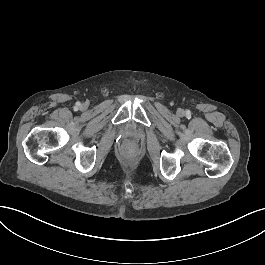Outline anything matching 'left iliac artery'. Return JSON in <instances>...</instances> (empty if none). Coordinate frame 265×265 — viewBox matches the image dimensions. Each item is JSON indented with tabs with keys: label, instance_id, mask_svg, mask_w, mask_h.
Wrapping results in <instances>:
<instances>
[{
	"label": "left iliac artery",
	"instance_id": "44dca946",
	"mask_svg": "<svg viewBox=\"0 0 265 265\" xmlns=\"http://www.w3.org/2000/svg\"><path fill=\"white\" fill-rule=\"evenodd\" d=\"M186 114H187L188 116H190L191 112H190V111H187Z\"/></svg>",
	"mask_w": 265,
	"mask_h": 265
}]
</instances>
